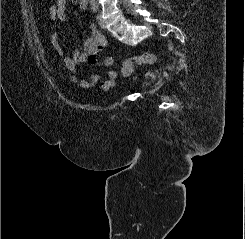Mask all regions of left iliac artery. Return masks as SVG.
I'll return each mask as SVG.
<instances>
[{"label": "left iliac artery", "mask_w": 245, "mask_h": 239, "mask_svg": "<svg viewBox=\"0 0 245 239\" xmlns=\"http://www.w3.org/2000/svg\"><path fill=\"white\" fill-rule=\"evenodd\" d=\"M91 7H92L93 12L98 11V3L95 0L91 1Z\"/></svg>", "instance_id": "1"}]
</instances>
